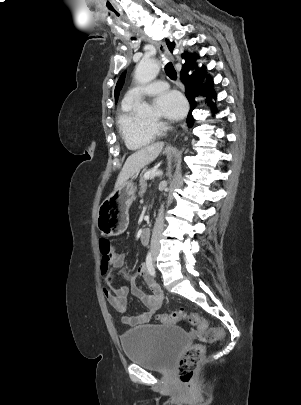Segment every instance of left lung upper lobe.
<instances>
[{
	"label": "left lung upper lobe",
	"instance_id": "left-lung-upper-lobe-1",
	"mask_svg": "<svg viewBox=\"0 0 301 405\" xmlns=\"http://www.w3.org/2000/svg\"><path fill=\"white\" fill-rule=\"evenodd\" d=\"M124 78H125V72L122 73V75L120 76V78H119V80H118V82L116 84L115 93H114L115 94V102H117V100H118L120 90H121V88L123 86V83H124Z\"/></svg>",
	"mask_w": 301,
	"mask_h": 405
}]
</instances>
